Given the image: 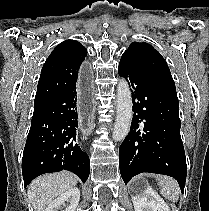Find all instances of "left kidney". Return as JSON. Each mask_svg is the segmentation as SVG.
Segmentation results:
<instances>
[{
    "label": "left kidney",
    "instance_id": "5707ae66",
    "mask_svg": "<svg viewBox=\"0 0 209 211\" xmlns=\"http://www.w3.org/2000/svg\"><path fill=\"white\" fill-rule=\"evenodd\" d=\"M131 197L135 211H170L169 206L150 186L132 187Z\"/></svg>",
    "mask_w": 209,
    "mask_h": 211
}]
</instances>
